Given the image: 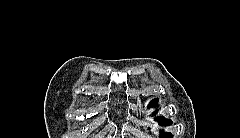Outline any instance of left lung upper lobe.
Masks as SVG:
<instances>
[{"mask_svg": "<svg viewBox=\"0 0 240 138\" xmlns=\"http://www.w3.org/2000/svg\"><path fill=\"white\" fill-rule=\"evenodd\" d=\"M158 102V99H154L152 100L150 103H149V108L152 107V106H155ZM157 121L160 122L161 125H170L171 124V121L169 119H164L162 116H159L158 118H156ZM172 134L171 133H162L160 135V138H172Z\"/></svg>", "mask_w": 240, "mask_h": 138, "instance_id": "5c2ea615", "label": "left lung upper lobe"}]
</instances>
